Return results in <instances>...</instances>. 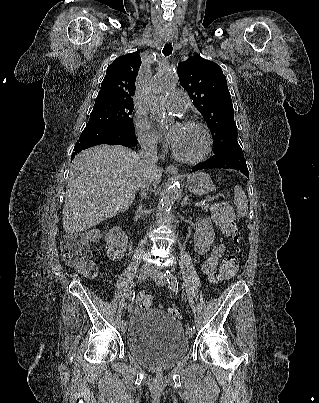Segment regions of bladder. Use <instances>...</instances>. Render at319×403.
<instances>
[{"instance_id": "bladder-1", "label": "bladder", "mask_w": 319, "mask_h": 403, "mask_svg": "<svg viewBox=\"0 0 319 403\" xmlns=\"http://www.w3.org/2000/svg\"><path fill=\"white\" fill-rule=\"evenodd\" d=\"M126 347L138 363L152 370L171 369L190 351L182 324L166 312L152 308L132 313Z\"/></svg>"}]
</instances>
